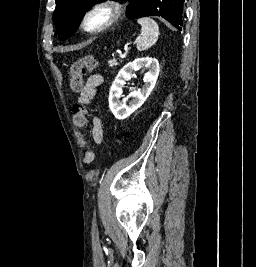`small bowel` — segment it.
<instances>
[{"label":"small bowel","instance_id":"c3829d8e","mask_svg":"<svg viewBox=\"0 0 256 267\" xmlns=\"http://www.w3.org/2000/svg\"><path fill=\"white\" fill-rule=\"evenodd\" d=\"M103 83V76L100 74L90 75L83 84L80 90L78 103L88 105L95 98L98 88ZM91 136L96 144H100L103 140V129L100 119L94 118L92 121Z\"/></svg>","mask_w":256,"mask_h":267}]
</instances>
